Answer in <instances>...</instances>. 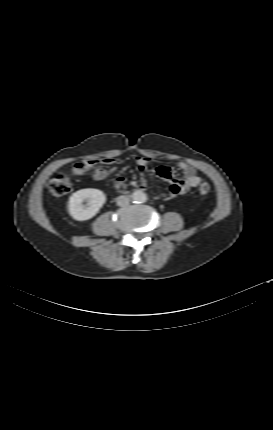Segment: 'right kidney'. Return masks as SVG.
<instances>
[{
	"label": "right kidney",
	"mask_w": 273,
	"mask_h": 430,
	"mask_svg": "<svg viewBox=\"0 0 273 430\" xmlns=\"http://www.w3.org/2000/svg\"><path fill=\"white\" fill-rule=\"evenodd\" d=\"M105 201L106 196L101 190L93 188L81 189L73 193L69 198V214L77 221L89 220L99 212Z\"/></svg>",
	"instance_id": "obj_1"
}]
</instances>
